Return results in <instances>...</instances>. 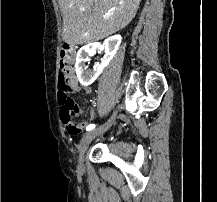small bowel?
<instances>
[{"instance_id":"1","label":"small bowel","mask_w":217,"mask_h":202,"mask_svg":"<svg viewBox=\"0 0 217 202\" xmlns=\"http://www.w3.org/2000/svg\"><path fill=\"white\" fill-rule=\"evenodd\" d=\"M70 79L72 80V84H73V86L75 87V90L78 89V88H79V84H78V81L76 80L74 74H72V75L70 76ZM88 90H89V89L86 88V91H88ZM82 112H83V111H82L81 109L78 110V113H82ZM95 116H96V114H95L94 110L91 109V110L89 111V117H90L91 119H94ZM79 124H80V127H81V128H85V127H86V123H84V122H81V123H79Z\"/></svg>"}]
</instances>
